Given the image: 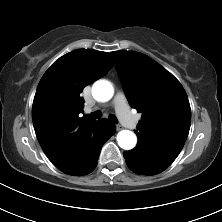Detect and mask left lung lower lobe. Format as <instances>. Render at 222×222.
Masks as SVG:
<instances>
[{"label": "left lung lower lobe", "instance_id": "left-lung-lower-lobe-1", "mask_svg": "<svg viewBox=\"0 0 222 222\" xmlns=\"http://www.w3.org/2000/svg\"><path fill=\"white\" fill-rule=\"evenodd\" d=\"M128 167L141 175H155L164 171L173 161L152 150L146 145L138 144L131 151L123 153Z\"/></svg>", "mask_w": 222, "mask_h": 222}]
</instances>
